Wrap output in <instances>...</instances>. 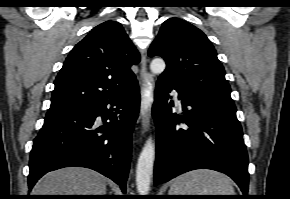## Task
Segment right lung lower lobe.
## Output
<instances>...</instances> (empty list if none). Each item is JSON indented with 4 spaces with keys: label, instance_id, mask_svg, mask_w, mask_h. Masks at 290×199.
<instances>
[{
    "label": "right lung lower lobe",
    "instance_id": "98d812e1",
    "mask_svg": "<svg viewBox=\"0 0 290 199\" xmlns=\"http://www.w3.org/2000/svg\"><path fill=\"white\" fill-rule=\"evenodd\" d=\"M107 104L116 108L109 110ZM139 105L135 81L121 93L93 105L47 115L31 150L29 189L49 171L80 166L112 179L125 193ZM98 116L103 119L101 126L96 122Z\"/></svg>",
    "mask_w": 290,
    "mask_h": 199
}]
</instances>
